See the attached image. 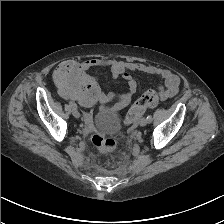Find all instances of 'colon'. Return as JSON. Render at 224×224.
<instances>
[{"instance_id": "1", "label": "colon", "mask_w": 224, "mask_h": 224, "mask_svg": "<svg viewBox=\"0 0 224 224\" xmlns=\"http://www.w3.org/2000/svg\"><path fill=\"white\" fill-rule=\"evenodd\" d=\"M54 79L65 97L80 105H92L100 98L95 79L77 62L68 61L60 64L54 71ZM157 99L158 96L155 92L145 93L130 109L124 120V125H133L141 111L153 105ZM92 143L102 153H110L117 147V142L105 134H95L92 137Z\"/></svg>"}]
</instances>
